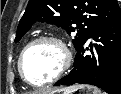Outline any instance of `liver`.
Instances as JSON below:
<instances>
[{"label": "liver", "instance_id": "obj_1", "mask_svg": "<svg viewBox=\"0 0 121 94\" xmlns=\"http://www.w3.org/2000/svg\"><path fill=\"white\" fill-rule=\"evenodd\" d=\"M33 94H48L47 91H39L37 93H33Z\"/></svg>", "mask_w": 121, "mask_h": 94}]
</instances>
